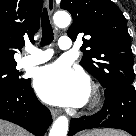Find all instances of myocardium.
I'll return each mask as SVG.
<instances>
[{"label":"myocardium","mask_w":136,"mask_h":136,"mask_svg":"<svg viewBox=\"0 0 136 136\" xmlns=\"http://www.w3.org/2000/svg\"><path fill=\"white\" fill-rule=\"evenodd\" d=\"M90 99H89V105L90 107H95L100 102V92L96 85H92L90 87Z\"/></svg>","instance_id":"f54148a6"}]
</instances>
